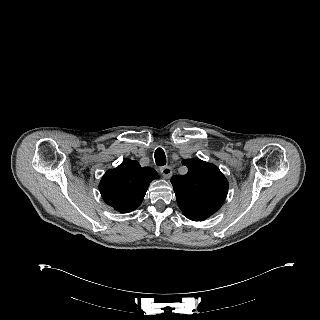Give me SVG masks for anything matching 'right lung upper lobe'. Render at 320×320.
I'll return each instance as SVG.
<instances>
[{"label":"right lung upper lobe","mask_w":320,"mask_h":320,"mask_svg":"<svg viewBox=\"0 0 320 320\" xmlns=\"http://www.w3.org/2000/svg\"><path fill=\"white\" fill-rule=\"evenodd\" d=\"M157 178L154 169L142 168L138 162L126 159L105 173L99 189L108 205L118 212L128 213L140 206L150 182Z\"/></svg>","instance_id":"1"}]
</instances>
